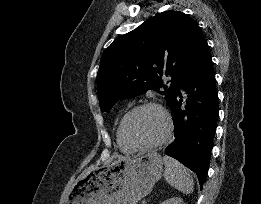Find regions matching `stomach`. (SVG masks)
I'll return each instance as SVG.
<instances>
[{
	"instance_id": "0dacf381",
	"label": "stomach",
	"mask_w": 261,
	"mask_h": 204,
	"mask_svg": "<svg viewBox=\"0 0 261 204\" xmlns=\"http://www.w3.org/2000/svg\"><path fill=\"white\" fill-rule=\"evenodd\" d=\"M162 172L163 158L156 152L118 159L83 175L66 204H136L151 192Z\"/></svg>"
}]
</instances>
